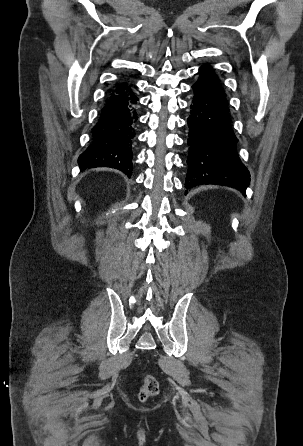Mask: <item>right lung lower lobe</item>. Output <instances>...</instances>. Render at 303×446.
Masks as SVG:
<instances>
[{
    "label": "right lung lower lobe",
    "mask_w": 303,
    "mask_h": 446,
    "mask_svg": "<svg viewBox=\"0 0 303 446\" xmlns=\"http://www.w3.org/2000/svg\"><path fill=\"white\" fill-rule=\"evenodd\" d=\"M137 101L133 85L127 81L111 89L93 128V141L78 159L81 169L111 167L131 176Z\"/></svg>",
    "instance_id": "98d812e1"
}]
</instances>
